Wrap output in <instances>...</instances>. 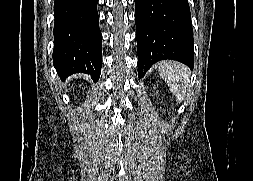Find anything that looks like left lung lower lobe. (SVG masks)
<instances>
[{"mask_svg": "<svg viewBox=\"0 0 253 181\" xmlns=\"http://www.w3.org/2000/svg\"><path fill=\"white\" fill-rule=\"evenodd\" d=\"M138 77L156 62L172 59L193 69L194 49L187 0H134Z\"/></svg>", "mask_w": 253, "mask_h": 181, "instance_id": "left-lung-lower-lobe-1", "label": "left lung lower lobe"}]
</instances>
